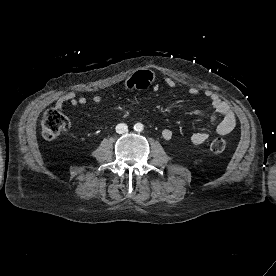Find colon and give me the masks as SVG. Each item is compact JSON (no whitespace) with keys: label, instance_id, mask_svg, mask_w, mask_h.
I'll list each match as a JSON object with an SVG mask.
<instances>
[{"label":"colon","instance_id":"1","mask_svg":"<svg viewBox=\"0 0 276 276\" xmlns=\"http://www.w3.org/2000/svg\"><path fill=\"white\" fill-rule=\"evenodd\" d=\"M41 127L43 137L53 140L69 129L70 121L59 109L51 107L43 113ZM226 147L227 143L223 138H215L210 143V150L213 153H222Z\"/></svg>","mask_w":276,"mask_h":276}]
</instances>
